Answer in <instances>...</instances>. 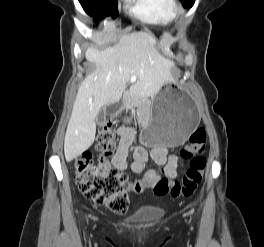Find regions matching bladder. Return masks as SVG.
Listing matches in <instances>:
<instances>
[{
  "label": "bladder",
  "mask_w": 264,
  "mask_h": 247,
  "mask_svg": "<svg viewBox=\"0 0 264 247\" xmlns=\"http://www.w3.org/2000/svg\"><path fill=\"white\" fill-rule=\"evenodd\" d=\"M163 213L158 206L147 204L139 207L131 218L138 223H150L159 220Z\"/></svg>",
  "instance_id": "31cf9c89"
}]
</instances>
